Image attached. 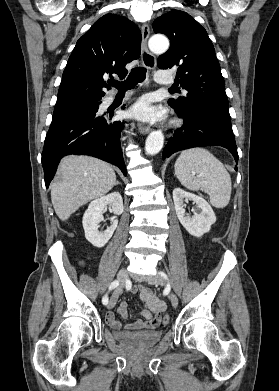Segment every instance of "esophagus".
I'll use <instances>...</instances> for the list:
<instances>
[{"mask_svg": "<svg viewBox=\"0 0 279 391\" xmlns=\"http://www.w3.org/2000/svg\"><path fill=\"white\" fill-rule=\"evenodd\" d=\"M142 32V44H141V59L143 65L148 69H154L156 66V58L155 56L148 50L147 41L149 38L150 30L149 26L144 23L141 27ZM138 129L142 134H147L150 132L151 128L142 123L138 124Z\"/></svg>", "mask_w": 279, "mask_h": 391, "instance_id": "obj_1", "label": "esophagus"}]
</instances>
